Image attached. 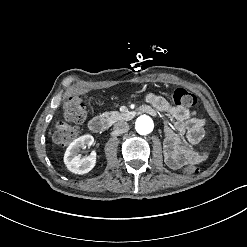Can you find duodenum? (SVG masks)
<instances>
[{"instance_id": "obj_1", "label": "duodenum", "mask_w": 247, "mask_h": 247, "mask_svg": "<svg viewBox=\"0 0 247 247\" xmlns=\"http://www.w3.org/2000/svg\"><path fill=\"white\" fill-rule=\"evenodd\" d=\"M138 110L147 112L149 108L142 105L138 108ZM88 127L94 133H102L108 128L107 120L102 117H94L89 121Z\"/></svg>"}]
</instances>
